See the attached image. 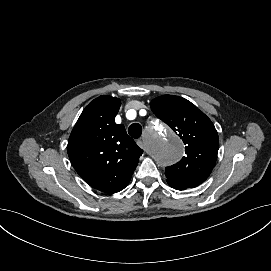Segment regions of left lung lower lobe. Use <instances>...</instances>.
<instances>
[{
	"mask_svg": "<svg viewBox=\"0 0 271 271\" xmlns=\"http://www.w3.org/2000/svg\"><path fill=\"white\" fill-rule=\"evenodd\" d=\"M167 182H168L169 186L173 187L176 190H185V189L191 188V187L184 186L182 184L171 182L169 180H167Z\"/></svg>",
	"mask_w": 271,
	"mask_h": 271,
	"instance_id": "obj_1",
	"label": "left lung lower lobe"
}]
</instances>
